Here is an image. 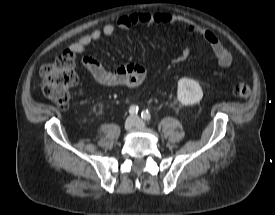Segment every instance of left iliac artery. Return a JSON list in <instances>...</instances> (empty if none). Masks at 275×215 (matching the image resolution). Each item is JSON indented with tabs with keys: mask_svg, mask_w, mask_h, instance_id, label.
<instances>
[{
	"mask_svg": "<svg viewBox=\"0 0 275 215\" xmlns=\"http://www.w3.org/2000/svg\"><path fill=\"white\" fill-rule=\"evenodd\" d=\"M141 117H142V119L147 120V121L151 119V115H150V113L148 112V110L143 111V112L141 113Z\"/></svg>",
	"mask_w": 275,
	"mask_h": 215,
	"instance_id": "obj_1",
	"label": "left iliac artery"
}]
</instances>
